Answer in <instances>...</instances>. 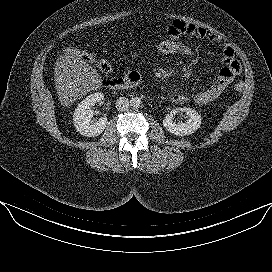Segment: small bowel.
<instances>
[{"instance_id": "c3829d8e", "label": "small bowel", "mask_w": 272, "mask_h": 272, "mask_svg": "<svg viewBox=\"0 0 272 272\" xmlns=\"http://www.w3.org/2000/svg\"><path fill=\"white\" fill-rule=\"evenodd\" d=\"M167 36L181 40L183 36H192L219 45L222 50V63L224 65L219 71L216 80L208 88L194 94L192 97L180 93H172L170 95L172 101L182 104L193 100L198 105H207L215 101L233 82L236 76L240 74L241 64L237 60L233 48L219 35L203 27L175 20L168 27Z\"/></svg>"}]
</instances>
